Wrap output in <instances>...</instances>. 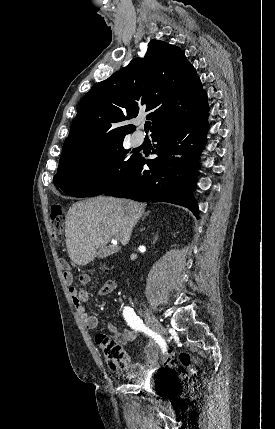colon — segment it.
<instances>
[{"instance_id":"1","label":"colon","mask_w":275,"mask_h":429,"mask_svg":"<svg viewBox=\"0 0 275 429\" xmlns=\"http://www.w3.org/2000/svg\"><path fill=\"white\" fill-rule=\"evenodd\" d=\"M64 224V208L60 203H54L51 207L50 226L52 237L57 242H60L63 238ZM60 264L64 269V272L68 270V263L64 259L60 260ZM96 341L102 348L104 356L111 369H122L128 365L129 358L117 340L110 339L106 335L100 334L96 337ZM178 359L186 367H195L200 363L198 359L186 352L181 353ZM175 360V355L171 351H167L163 359V365L169 366Z\"/></svg>"}]
</instances>
